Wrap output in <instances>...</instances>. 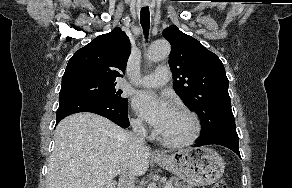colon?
Here are the masks:
<instances>
[{"instance_id":"obj_1","label":"colon","mask_w":292,"mask_h":188,"mask_svg":"<svg viewBox=\"0 0 292 188\" xmlns=\"http://www.w3.org/2000/svg\"><path fill=\"white\" fill-rule=\"evenodd\" d=\"M212 188H228V186L226 182L220 181L216 183Z\"/></svg>"}]
</instances>
